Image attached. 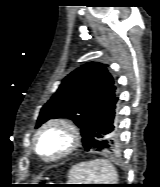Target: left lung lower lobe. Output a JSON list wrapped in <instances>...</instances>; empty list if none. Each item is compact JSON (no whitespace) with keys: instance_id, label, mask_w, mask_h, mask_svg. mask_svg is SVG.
Instances as JSON below:
<instances>
[{"instance_id":"1","label":"left lung lower lobe","mask_w":160,"mask_h":187,"mask_svg":"<svg viewBox=\"0 0 160 187\" xmlns=\"http://www.w3.org/2000/svg\"><path fill=\"white\" fill-rule=\"evenodd\" d=\"M118 98L114 97L100 114L93 129L84 135L87 150L114 152L118 149L117 139L110 135L115 131L114 118Z\"/></svg>"}]
</instances>
